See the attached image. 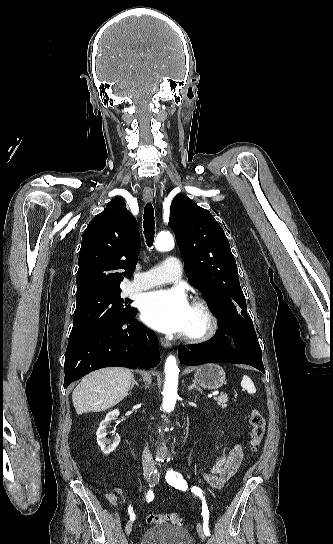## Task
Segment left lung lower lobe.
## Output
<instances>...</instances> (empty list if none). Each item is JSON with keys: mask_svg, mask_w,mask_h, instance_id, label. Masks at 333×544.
<instances>
[{"mask_svg": "<svg viewBox=\"0 0 333 544\" xmlns=\"http://www.w3.org/2000/svg\"><path fill=\"white\" fill-rule=\"evenodd\" d=\"M227 335L232 337L233 341L229 340ZM178 357L180 362L186 365H200L213 360L248 364L265 372L261 349L242 324L221 326L215 336L206 342L180 346Z\"/></svg>", "mask_w": 333, "mask_h": 544, "instance_id": "obj_1", "label": "left lung lower lobe"}]
</instances>
